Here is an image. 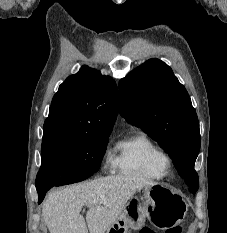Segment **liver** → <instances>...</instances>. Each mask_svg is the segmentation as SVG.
I'll list each match as a JSON object with an SVG mask.
<instances>
[{"label":"liver","mask_w":227,"mask_h":233,"mask_svg":"<svg viewBox=\"0 0 227 233\" xmlns=\"http://www.w3.org/2000/svg\"><path fill=\"white\" fill-rule=\"evenodd\" d=\"M154 185L140 176L114 175L69 186L48 195L42 216L50 233H105L137 191ZM83 206L89 207L86 220Z\"/></svg>","instance_id":"1"}]
</instances>
